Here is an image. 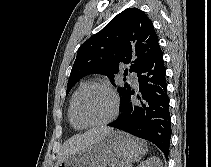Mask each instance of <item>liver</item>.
<instances>
[{"label": "liver", "instance_id": "6515ba94", "mask_svg": "<svg viewBox=\"0 0 211 167\" xmlns=\"http://www.w3.org/2000/svg\"><path fill=\"white\" fill-rule=\"evenodd\" d=\"M112 131L113 128L101 126L90 129L83 134H79L70 138L64 143V146L59 153L55 167H57V165L64 161L66 158L90 148Z\"/></svg>", "mask_w": 211, "mask_h": 167}]
</instances>
